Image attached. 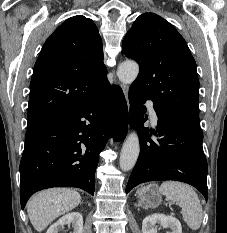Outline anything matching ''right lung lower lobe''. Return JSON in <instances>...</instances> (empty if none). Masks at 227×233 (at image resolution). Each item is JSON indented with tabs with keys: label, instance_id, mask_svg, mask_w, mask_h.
<instances>
[{
	"label": "right lung lower lobe",
	"instance_id": "98d812e1",
	"mask_svg": "<svg viewBox=\"0 0 227 233\" xmlns=\"http://www.w3.org/2000/svg\"><path fill=\"white\" fill-rule=\"evenodd\" d=\"M119 87L108 84L87 102L27 129L20 162L22 209L35 192L51 187H77L91 195L99 153L107 139L122 140L128 111L114 99Z\"/></svg>",
	"mask_w": 227,
	"mask_h": 233
}]
</instances>
